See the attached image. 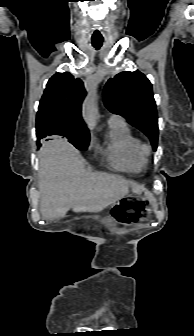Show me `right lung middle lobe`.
<instances>
[{"instance_id":"1","label":"right lung middle lobe","mask_w":194,"mask_h":336,"mask_svg":"<svg viewBox=\"0 0 194 336\" xmlns=\"http://www.w3.org/2000/svg\"><path fill=\"white\" fill-rule=\"evenodd\" d=\"M65 137L79 150L86 149L90 140V136L81 134H72Z\"/></svg>"}]
</instances>
